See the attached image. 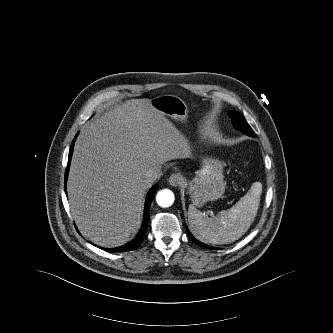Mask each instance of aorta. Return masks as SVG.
Instances as JSON below:
<instances>
[{
    "label": "aorta",
    "mask_w": 333,
    "mask_h": 333,
    "mask_svg": "<svg viewBox=\"0 0 333 333\" xmlns=\"http://www.w3.org/2000/svg\"><path fill=\"white\" fill-rule=\"evenodd\" d=\"M156 201L161 207H169L174 202V194L168 189L161 190L157 193Z\"/></svg>",
    "instance_id": "aorta-1"
}]
</instances>
